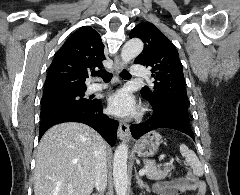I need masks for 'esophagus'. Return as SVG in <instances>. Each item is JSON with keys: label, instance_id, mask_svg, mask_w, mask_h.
Returning <instances> with one entry per match:
<instances>
[{"label": "esophagus", "instance_id": "obj_1", "mask_svg": "<svg viewBox=\"0 0 240 195\" xmlns=\"http://www.w3.org/2000/svg\"><path fill=\"white\" fill-rule=\"evenodd\" d=\"M122 68H123V62L121 61L119 56H116L113 62V70L116 73H118L122 70ZM117 135H118V138L122 141H129L131 139L130 128L125 121H120Z\"/></svg>", "mask_w": 240, "mask_h": 195}]
</instances>
